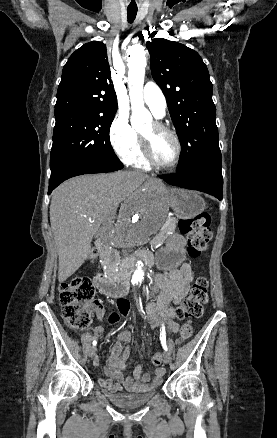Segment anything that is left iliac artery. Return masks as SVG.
Masks as SVG:
<instances>
[{
    "mask_svg": "<svg viewBox=\"0 0 277 438\" xmlns=\"http://www.w3.org/2000/svg\"><path fill=\"white\" fill-rule=\"evenodd\" d=\"M160 341L162 344V347L165 351L168 350L167 345H166V332H165V327L164 325L161 328V332H160Z\"/></svg>",
    "mask_w": 277,
    "mask_h": 438,
    "instance_id": "left-iliac-artery-1",
    "label": "left iliac artery"
}]
</instances>
